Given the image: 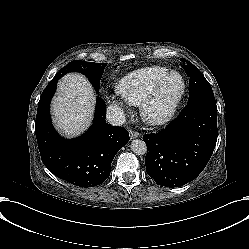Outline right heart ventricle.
<instances>
[{
    "mask_svg": "<svg viewBox=\"0 0 249 249\" xmlns=\"http://www.w3.org/2000/svg\"><path fill=\"white\" fill-rule=\"evenodd\" d=\"M168 69L162 66H150L128 74L118 85V93L134 106H139L157 87Z\"/></svg>",
    "mask_w": 249,
    "mask_h": 249,
    "instance_id": "right-heart-ventricle-1",
    "label": "right heart ventricle"
}]
</instances>
